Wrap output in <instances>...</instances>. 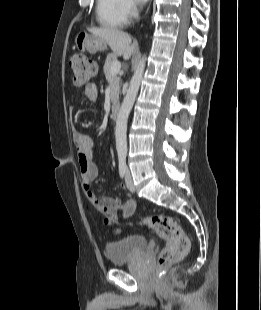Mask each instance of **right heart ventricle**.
I'll list each match as a JSON object with an SVG mask.
<instances>
[{"label": "right heart ventricle", "instance_id": "right-heart-ventricle-1", "mask_svg": "<svg viewBox=\"0 0 261 310\" xmlns=\"http://www.w3.org/2000/svg\"><path fill=\"white\" fill-rule=\"evenodd\" d=\"M95 11L97 22L105 28H121L127 23L120 0H96Z\"/></svg>", "mask_w": 261, "mask_h": 310}]
</instances>
